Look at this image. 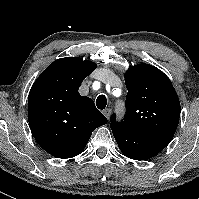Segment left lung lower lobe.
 Wrapping results in <instances>:
<instances>
[{
    "instance_id": "0a47b994",
    "label": "left lung lower lobe",
    "mask_w": 199,
    "mask_h": 199,
    "mask_svg": "<svg viewBox=\"0 0 199 199\" xmlns=\"http://www.w3.org/2000/svg\"><path fill=\"white\" fill-rule=\"evenodd\" d=\"M121 152L134 160H146L161 152L168 144L121 127L112 128Z\"/></svg>"
}]
</instances>
